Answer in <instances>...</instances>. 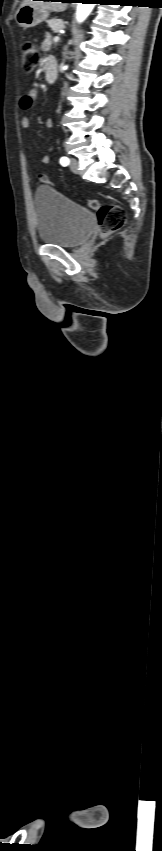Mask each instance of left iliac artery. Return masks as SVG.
I'll return each mask as SVG.
<instances>
[{
  "label": "left iliac artery",
  "instance_id": "1",
  "mask_svg": "<svg viewBox=\"0 0 162 851\" xmlns=\"http://www.w3.org/2000/svg\"><path fill=\"white\" fill-rule=\"evenodd\" d=\"M69 162H70V161H69V159H68L67 157H61V159H60V164H61L62 166H67V165L69 164Z\"/></svg>",
  "mask_w": 162,
  "mask_h": 851
}]
</instances>
